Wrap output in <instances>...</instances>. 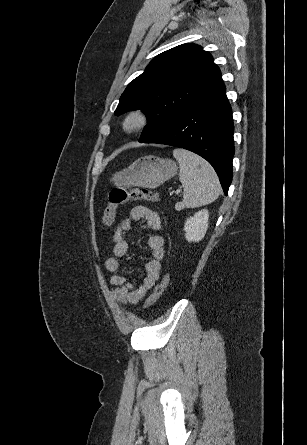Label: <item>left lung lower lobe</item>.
<instances>
[{
    "mask_svg": "<svg viewBox=\"0 0 307 445\" xmlns=\"http://www.w3.org/2000/svg\"><path fill=\"white\" fill-rule=\"evenodd\" d=\"M232 110L222 83L143 142L190 150L215 169L225 195L232 181L234 155Z\"/></svg>",
    "mask_w": 307,
    "mask_h": 445,
    "instance_id": "obj_1",
    "label": "left lung lower lobe"
}]
</instances>
